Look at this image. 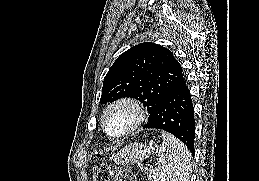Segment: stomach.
Instances as JSON below:
<instances>
[{"label":"stomach","instance_id":"0dacf381","mask_svg":"<svg viewBox=\"0 0 259 181\" xmlns=\"http://www.w3.org/2000/svg\"><path fill=\"white\" fill-rule=\"evenodd\" d=\"M151 153V148L143 143H132L122 148L116 155L115 161L119 164H135L141 162Z\"/></svg>","mask_w":259,"mask_h":181}]
</instances>
